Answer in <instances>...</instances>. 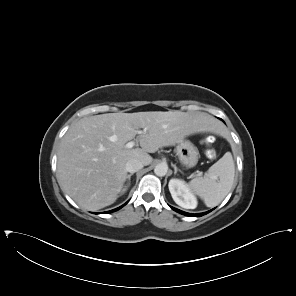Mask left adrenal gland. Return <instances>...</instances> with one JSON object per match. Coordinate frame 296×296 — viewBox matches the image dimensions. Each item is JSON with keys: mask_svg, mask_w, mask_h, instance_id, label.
I'll list each match as a JSON object with an SVG mask.
<instances>
[{"mask_svg": "<svg viewBox=\"0 0 296 296\" xmlns=\"http://www.w3.org/2000/svg\"><path fill=\"white\" fill-rule=\"evenodd\" d=\"M172 166L174 168V174H176L178 171L182 173V171L180 169H178L175 164H172Z\"/></svg>", "mask_w": 296, "mask_h": 296, "instance_id": "a2214340", "label": "left adrenal gland"}]
</instances>
